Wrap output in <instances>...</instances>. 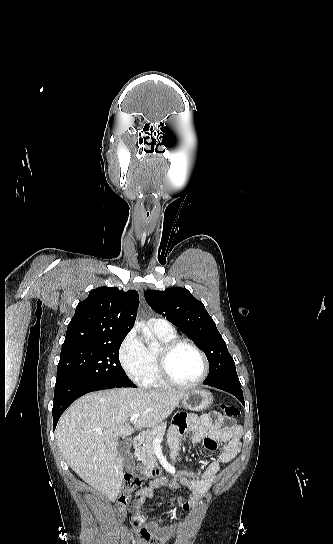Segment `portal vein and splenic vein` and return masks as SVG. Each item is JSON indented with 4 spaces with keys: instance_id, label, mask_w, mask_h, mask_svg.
I'll return each instance as SVG.
<instances>
[{
    "instance_id": "obj_1",
    "label": "portal vein and splenic vein",
    "mask_w": 333,
    "mask_h": 544,
    "mask_svg": "<svg viewBox=\"0 0 333 544\" xmlns=\"http://www.w3.org/2000/svg\"><path fill=\"white\" fill-rule=\"evenodd\" d=\"M139 416H140L139 413L133 414V415L130 417V422H134ZM161 441H162V439H159V438H156V439L154 440L155 444H159V443H161Z\"/></svg>"
}]
</instances>
